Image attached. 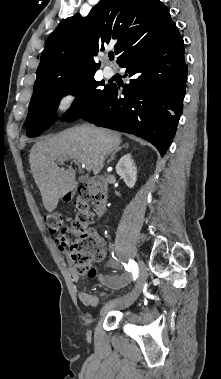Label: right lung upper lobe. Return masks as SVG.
Wrapping results in <instances>:
<instances>
[{"label":"right lung upper lobe","mask_w":221,"mask_h":379,"mask_svg":"<svg viewBox=\"0 0 221 379\" xmlns=\"http://www.w3.org/2000/svg\"><path fill=\"white\" fill-rule=\"evenodd\" d=\"M174 22L160 0H100L86 18H66L47 39L34 93L63 79L94 73L95 56L116 41L119 63L127 54L159 36Z\"/></svg>","instance_id":"1"}]
</instances>
